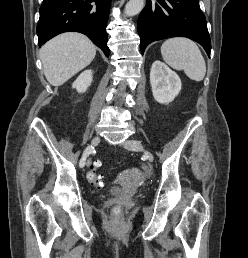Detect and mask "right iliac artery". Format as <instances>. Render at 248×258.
Masks as SVG:
<instances>
[{"mask_svg":"<svg viewBox=\"0 0 248 258\" xmlns=\"http://www.w3.org/2000/svg\"><path fill=\"white\" fill-rule=\"evenodd\" d=\"M94 147L88 146L82 155V158L80 159L79 166L83 167L85 165L86 158L89 156V154L93 151Z\"/></svg>","mask_w":248,"mask_h":258,"instance_id":"right-iliac-artery-1","label":"right iliac artery"}]
</instances>
